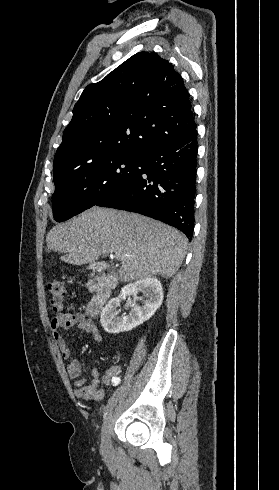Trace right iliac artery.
Masks as SVG:
<instances>
[{
    "instance_id": "1",
    "label": "right iliac artery",
    "mask_w": 279,
    "mask_h": 490,
    "mask_svg": "<svg viewBox=\"0 0 279 490\" xmlns=\"http://www.w3.org/2000/svg\"><path fill=\"white\" fill-rule=\"evenodd\" d=\"M111 380H112V382H113V384H112V385H113V387H115V388H116V387H118V385H119V384H118V382H119V380H120V379H119V377H117V376L115 377V376H114V377H112V379H111Z\"/></svg>"
}]
</instances>
